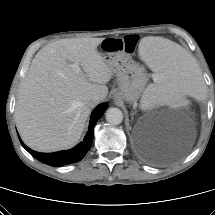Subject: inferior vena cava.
<instances>
[{
  "label": "inferior vena cava",
  "mask_w": 215,
  "mask_h": 215,
  "mask_svg": "<svg viewBox=\"0 0 215 215\" xmlns=\"http://www.w3.org/2000/svg\"><path fill=\"white\" fill-rule=\"evenodd\" d=\"M102 100V97L99 95H94L89 101L90 106L94 107L97 103Z\"/></svg>",
  "instance_id": "inferior-vena-cava-1"
}]
</instances>
